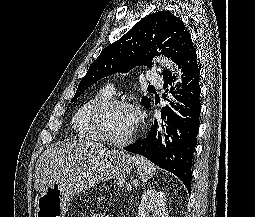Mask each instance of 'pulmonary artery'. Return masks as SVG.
I'll use <instances>...</instances> for the list:
<instances>
[{
    "mask_svg": "<svg viewBox=\"0 0 255 217\" xmlns=\"http://www.w3.org/2000/svg\"><path fill=\"white\" fill-rule=\"evenodd\" d=\"M147 80L150 84L154 85V86H158L160 87L163 83V80L160 76L153 74V73H149L147 75ZM107 90L112 94L114 92V88L112 86L107 87Z\"/></svg>",
    "mask_w": 255,
    "mask_h": 217,
    "instance_id": "1",
    "label": "pulmonary artery"
}]
</instances>
